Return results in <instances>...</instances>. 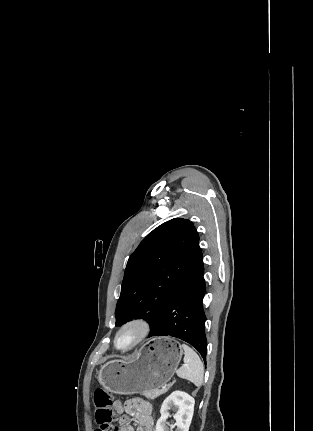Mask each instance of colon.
I'll list each match as a JSON object with an SVG mask.
<instances>
[{
	"mask_svg": "<svg viewBox=\"0 0 313 431\" xmlns=\"http://www.w3.org/2000/svg\"><path fill=\"white\" fill-rule=\"evenodd\" d=\"M95 420L98 427L95 431H118L114 425L112 395L103 388L94 391Z\"/></svg>",
	"mask_w": 313,
	"mask_h": 431,
	"instance_id": "colon-1",
	"label": "colon"
}]
</instances>
